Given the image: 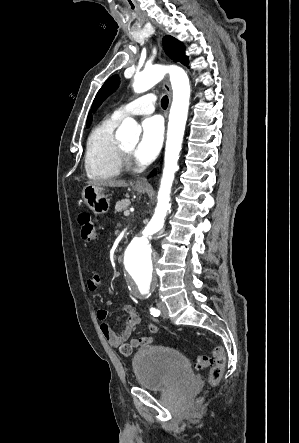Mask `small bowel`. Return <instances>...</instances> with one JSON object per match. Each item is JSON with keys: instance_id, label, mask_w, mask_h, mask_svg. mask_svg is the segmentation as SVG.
<instances>
[{"instance_id": "c3829d8e", "label": "small bowel", "mask_w": 299, "mask_h": 443, "mask_svg": "<svg viewBox=\"0 0 299 443\" xmlns=\"http://www.w3.org/2000/svg\"><path fill=\"white\" fill-rule=\"evenodd\" d=\"M100 284V275L95 273L88 280V288L90 291L97 290ZM121 312L125 314V321L123 323L120 333L114 332L107 324L106 319L108 317V311L106 309L97 310V318L102 322L101 329L104 336L107 339L108 344L111 347L119 348L123 354H129L132 349L149 347L153 343V337L151 335H141L131 338L134 327L139 323V315L136 309L132 305H124L121 308ZM147 329L151 333H156L159 327L156 324L149 323ZM128 340L129 343H126Z\"/></svg>"}]
</instances>
